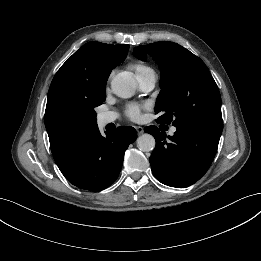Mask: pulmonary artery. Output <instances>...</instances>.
<instances>
[{"mask_svg":"<svg viewBox=\"0 0 261 261\" xmlns=\"http://www.w3.org/2000/svg\"><path fill=\"white\" fill-rule=\"evenodd\" d=\"M139 84L144 91H150L154 88L156 82L155 73H150L145 76L138 78ZM118 118L117 113L115 112H105L98 116V122L101 126H106L110 123H113ZM176 131L175 127H172L170 130L171 134H174Z\"/></svg>","mask_w":261,"mask_h":261,"instance_id":"1","label":"pulmonary artery"}]
</instances>
